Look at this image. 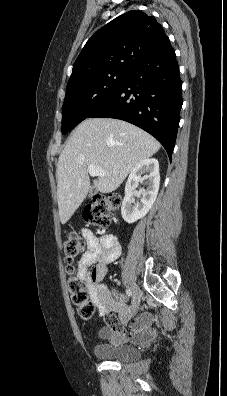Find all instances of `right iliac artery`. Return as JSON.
Returning <instances> with one entry per match:
<instances>
[{
	"instance_id": "obj_1",
	"label": "right iliac artery",
	"mask_w": 227,
	"mask_h": 396,
	"mask_svg": "<svg viewBox=\"0 0 227 396\" xmlns=\"http://www.w3.org/2000/svg\"><path fill=\"white\" fill-rule=\"evenodd\" d=\"M126 294L130 297V296H132V291L130 289H127Z\"/></svg>"
}]
</instances>
